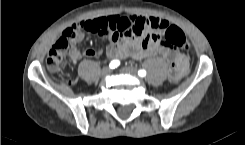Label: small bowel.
Masks as SVG:
<instances>
[{
	"instance_id": "small-bowel-1",
	"label": "small bowel",
	"mask_w": 245,
	"mask_h": 145,
	"mask_svg": "<svg viewBox=\"0 0 245 145\" xmlns=\"http://www.w3.org/2000/svg\"><path fill=\"white\" fill-rule=\"evenodd\" d=\"M87 23L91 24L88 31L97 33L109 40L106 52L113 60L133 58L141 60L156 55H161L168 62L175 65L174 72L169 75L171 82H178L187 72L189 66V53L187 51H176L166 45H156L152 39H147L146 34L157 33L163 35L170 27V23L161 18L153 16L131 15L121 16H100L84 20L72 25L69 28H81ZM84 31L78 30L76 34L68 38L70 45L69 61L76 63L82 57H94L101 53L100 50L87 48L79 49L78 43L84 36ZM119 33L122 37H119Z\"/></svg>"
}]
</instances>
